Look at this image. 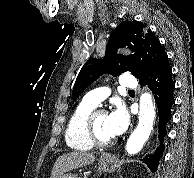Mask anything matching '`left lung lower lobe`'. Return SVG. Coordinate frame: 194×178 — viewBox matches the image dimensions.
<instances>
[{
    "mask_svg": "<svg viewBox=\"0 0 194 178\" xmlns=\"http://www.w3.org/2000/svg\"><path fill=\"white\" fill-rule=\"evenodd\" d=\"M141 85H148L154 95L158 113H159V138L160 141L166 135V123L171 118V106L174 103V82L172 80V69L170 67L168 57L165 56L160 63L143 79L140 80ZM163 153V145L148 158L143 160L151 168L153 172L157 169L159 158Z\"/></svg>",
    "mask_w": 194,
    "mask_h": 178,
    "instance_id": "obj_1",
    "label": "left lung lower lobe"
}]
</instances>
